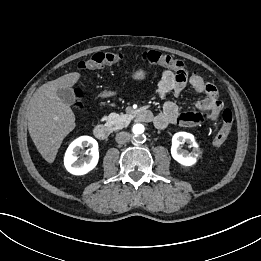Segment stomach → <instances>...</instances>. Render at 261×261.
Returning a JSON list of instances; mask_svg holds the SVG:
<instances>
[{
    "label": "stomach",
    "instance_id": "obj_1",
    "mask_svg": "<svg viewBox=\"0 0 261 261\" xmlns=\"http://www.w3.org/2000/svg\"><path fill=\"white\" fill-rule=\"evenodd\" d=\"M146 75H147L146 71H144L143 69H139V70L135 71V72L132 74V78H133L134 80L141 81V80H144V79L146 78ZM112 95H114L113 92H104V93H103V96H104V97L112 96Z\"/></svg>",
    "mask_w": 261,
    "mask_h": 261
}]
</instances>
